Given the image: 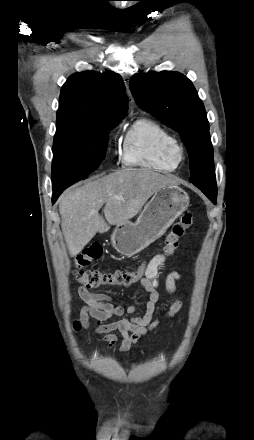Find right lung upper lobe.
<instances>
[{"mask_svg": "<svg viewBox=\"0 0 254 440\" xmlns=\"http://www.w3.org/2000/svg\"><path fill=\"white\" fill-rule=\"evenodd\" d=\"M122 78L113 72L76 73L62 86L57 119L91 123L121 121L127 112Z\"/></svg>", "mask_w": 254, "mask_h": 440, "instance_id": "right-lung-upper-lobe-1", "label": "right lung upper lobe"}]
</instances>
